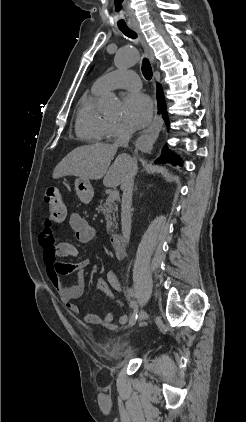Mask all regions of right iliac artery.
Here are the masks:
<instances>
[{
  "label": "right iliac artery",
  "instance_id": "1",
  "mask_svg": "<svg viewBox=\"0 0 246 422\" xmlns=\"http://www.w3.org/2000/svg\"><path fill=\"white\" fill-rule=\"evenodd\" d=\"M127 292H128V293H131V291H130V290H127ZM133 306H134V312H133V314H132V315H131V317H130V321H129V324H130V325H134V324L136 323L137 318H138V314H137V304H136V301H135V300H133Z\"/></svg>",
  "mask_w": 246,
  "mask_h": 422
}]
</instances>
